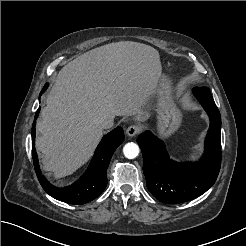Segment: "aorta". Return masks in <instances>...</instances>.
<instances>
[{
	"label": "aorta",
	"mask_w": 246,
	"mask_h": 246,
	"mask_svg": "<svg viewBox=\"0 0 246 246\" xmlns=\"http://www.w3.org/2000/svg\"><path fill=\"white\" fill-rule=\"evenodd\" d=\"M139 146L136 143L129 142L123 147L124 156L128 159H134L139 154Z\"/></svg>",
	"instance_id": "1"
}]
</instances>
